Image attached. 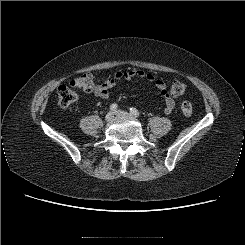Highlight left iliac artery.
<instances>
[{"instance_id":"left-iliac-artery-1","label":"left iliac artery","mask_w":245,"mask_h":245,"mask_svg":"<svg viewBox=\"0 0 245 245\" xmlns=\"http://www.w3.org/2000/svg\"><path fill=\"white\" fill-rule=\"evenodd\" d=\"M130 113L134 115L135 117H139L140 113L136 108H130Z\"/></svg>"}]
</instances>
